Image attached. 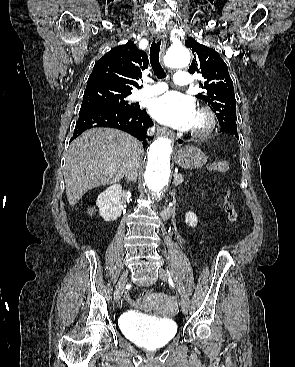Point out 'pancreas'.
I'll list each match as a JSON object with an SVG mask.
<instances>
[{
	"label": "pancreas",
	"mask_w": 295,
	"mask_h": 367,
	"mask_svg": "<svg viewBox=\"0 0 295 367\" xmlns=\"http://www.w3.org/2000/svg\"><path fill=\"white\" fill-rule=\"evenodd\" d=\"M183 181H184V178H183V176H182L181 174H176V175L174 176V184H175V185H179V184H181Z\"/></svg>",
	"instance_id": "pancreas-1"
}]
</instances>
